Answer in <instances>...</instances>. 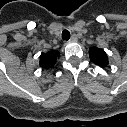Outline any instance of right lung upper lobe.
<instances>
[{
    "label": "right lung upper lobe",
    "mask_w": 127,
    "mask_h": 127,
    "mask_svg": "<svg viewBox=\"0 0 127 127\" xmlns=\"http://www.w3.org/2000/svg\"><path fill=\"white\" fill-rule=\"evenodd\" d=\"M58 55V51H49L47 53H42L40 55V66L43 69H49L53 67L56 63Z\"/></svg>",
    "instance_id": "right-lung-upper-lobe-1"
}]
</instances>
